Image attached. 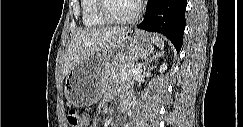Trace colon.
Masks as SVG:
<instances>
[{
	"instance_id": "colon-1",
	"label": "colon",
	"mask_w": 243,
	"mask_h": 127,
	"mask_svg": "<svg viewBox=\"0 0 243 127\" xmlns=\"http://www.w3.org/2000/svg\"><path fill=\"white\" fill-rule=\"evenodd\" d=\"M67 121L70 127H83L84 118L77 110L71 109L67 113Z\"/></svg>"
}]
</instances>
